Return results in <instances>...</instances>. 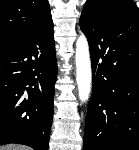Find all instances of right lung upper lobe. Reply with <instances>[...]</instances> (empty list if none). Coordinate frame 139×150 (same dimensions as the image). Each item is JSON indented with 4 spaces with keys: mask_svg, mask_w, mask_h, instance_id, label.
I'll use <instances>...</instances> for the list:
<instances>
[{
    "mask_svg": "<svg viewBox=\"0 0 139 150\" xmlns=\"http://www.w3.org/2000/svg\"><path fill=\"white\" fill-rule=\"evenodd\" d=\"M51 17L48 0H0V45L30 35Z\"/></svg>",
    "mask_w": 139,
    "mask_h": 150,
    "instance_id": "cb5924a9",
    "label": "right lung upper lobe"
}]
</instances>
